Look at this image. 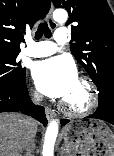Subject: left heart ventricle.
Instances as JSON below:
<instances>
[{
  "label": "left heart ventricle",
  "mask_w": 114,
  "mask_h": 156,
  "mask_svg": "<svg viewBox=\"0 0 114 156\" xmlns=\"http://www.w3.org/2000/svg\"><path fill=\"white\" fill-rule=\"evenodd\" d=\"M65 100L74 108L83 107L88 100L86 88L77 81L73 91Z\"/></svg>",
  "instance_id": "obj_1"
}]
</instances>
